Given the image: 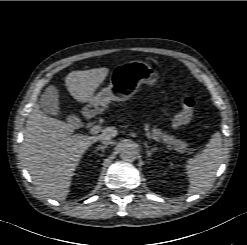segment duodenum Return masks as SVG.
Returning <instances> with one entry per match:
<instances>
[{
  "instance_id": "1",
  "label": "duodenum",
  "mask_w": 247,
  "mask_h": 245,
  "mask_svg": "<svg viewBox=\"0 0 247 245\" xmlns=\"http://www.w3.org/2000/svg\"><path fill=\"white\" fill-rule=\"evenodd\" d=\"M84 116H85L86 119H89L90 118V112L89 111H86L84 113Z\"/></svg>"
}]
</instances>
